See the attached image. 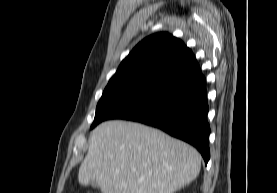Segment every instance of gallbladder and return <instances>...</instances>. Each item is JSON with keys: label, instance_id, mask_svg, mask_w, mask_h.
Returning <instances> with one entry per match:
<instances>
[{"label": "gallbladder", "instance_id": "bac80fb5", "mask_svg": "<svg viewBox=\"0 0 277 193\" xmlns=\"http://www.w3.org/2000/svg\"><path fill=\"white\" fill-rule=\"evenodd\" d=\"M91 186L94 187V188H97V187H98L97 183L94 182V181H91Z\"/></svg>", "mask_w": 277, "mask_h": 193}]
</instances>
